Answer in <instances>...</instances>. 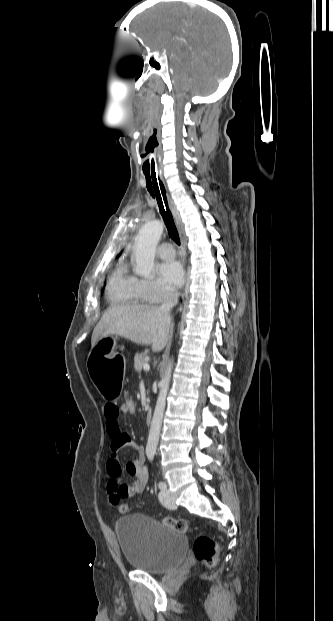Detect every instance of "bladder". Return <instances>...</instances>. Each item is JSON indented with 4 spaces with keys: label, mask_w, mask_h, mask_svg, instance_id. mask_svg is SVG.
<instances>
[{
    "label": "bladder",
    "mask_w": 333,
    "mask_h": 621,
    "mask_svg": "<svg viewBox=\"0 0 333 621\" xmlns=\"http://www.w3.org/2000/svg\"><path fill=\"white\" fill-rule=\"evenodd\" d=\"M115 531L126 563L135 571L164 574L176 568L188 552V539L144 514L119 518Z\"/></svg>",
    "instance_id": "1"
}]
</instances>
